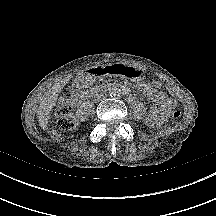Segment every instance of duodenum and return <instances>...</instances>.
Returning a JSON list of instances; mask_svg holds the SVG:
<instances>
[{
	"mask_svg": "<svg viewBox=\"0 0 216 216\" xmlns=\"http://www.w3.org/2000/svg\"><path fill=\"white\" fill-rule=\"evenodd\" d=\"M91 76H101L106 74V68H96L89 71ZM108 87L102 86L100 88H97L92 91H83L75 93L72 97V105L80 104L88 99L94 98L96 96H99L103 94ZM125 90H128V88H125Z\"/></svg>",
	"mask_w": 216,
	"mask_h": 216,
	"instance_id": "1",
	"label": "duodenum"
}]
</instances>
